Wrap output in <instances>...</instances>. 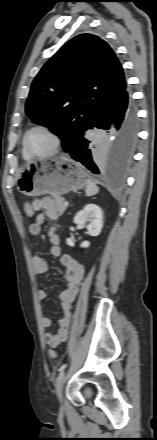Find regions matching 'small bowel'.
<instances>
[{
	"label": "small bowel",
	"mask_w": 157,
	"mask_h": 440,
	"mask_svg": "<svg viewBox=\"0 0 157 440\" xmlns=\"http://www.w3.org/2000/svg\"><path fill=\"white\" fill-rule=\"evenodd\" d=\"M32 208L35 213V218L33 223L29 226V232L32 236L38 237L41 234L45 216L51 220L57 219L58 209L55 201L50 197L34 200L32 203ZM47 235L51 246V254L54 257L59 258L61 265L65 269L63 276L65 288L58 294V299L60 301L63 313L62 318L58 322L59 329L55 334L48 331L44 333L45 342L50 347L55 348L61 343L65 342L67 339L68 329L72 317V304L79 292L80 285L84 277V267L71 255L62 253L60 248L61 239L55 226H50L48 228ZM32 265L34 273L37 276L45 274L48 270L47 262L39 256L33 257ZM46 296L47 295L44 290L40 289L38 291V297L40 300H44ZM41 323L43 327L48 328L51 325V320L48 317H43L41 319Z\"/></svg>",
	"instance_id": "obj_1"
}]
</instances>
